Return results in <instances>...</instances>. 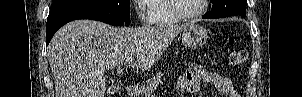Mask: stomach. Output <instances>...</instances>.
Returning a JSON list of instances; mask_svg holds the SVG:
<instances>
[{"instance_id":"stomach-1","label":"stomach","mask_w":302,"mask_h":97,"mask_svg":"<svg viewBox=\"0 0 302 97\" xmlns=\"http://www.w3.org/2000/svg\"><path fill=\"white\" fill-rule=\"evenodd\" d=\"M180 38L185 46L200 47L206 42L208 34L201 25L191 23L182 30Z\"/></svg>"}]
</instances>
